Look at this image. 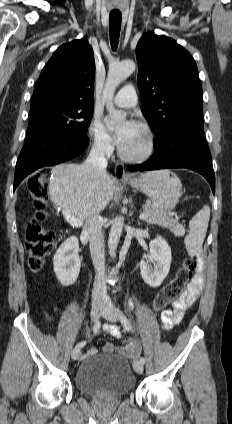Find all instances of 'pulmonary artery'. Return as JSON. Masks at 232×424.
Returning <instances> with one entry per match:
<instances>
[{
    "mask_svg": "<svg viewBox=\"0 0 232 424\" xmlns=\"http://www.w3.org/2000/svg\"><path fill=\"white\" fill-rule=\"evenodd\" d=\"M137 101V92L132 85L124 86L113 99L115 105L123 108H132L136 106Z\"/></svg>",
    "mask_w": 232,
    "mask_h": 424,
    "instance_id": "pulmonary-artery-1",
    "label": "pulmonary artery"
}]
</instances>
